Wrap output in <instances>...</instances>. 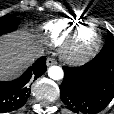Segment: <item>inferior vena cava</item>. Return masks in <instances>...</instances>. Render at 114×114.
<instances>
[{
	"label": "inferior vena cava",
	"instance_id": "1",
	"mask_svg": "<svg viewBox=\"0 0 114 114\" xmlns=\"http://www.w3.org/2000/svg\"><path fill=\"white\" fill-rule=\"evenodd\" d=\"M43 55V51L41 50H34L28 54V60L34 61L35 59L41 57Z\"/></svg>",
	"mask_w": 114,
	"mask_h": 114
}]
</instances>
